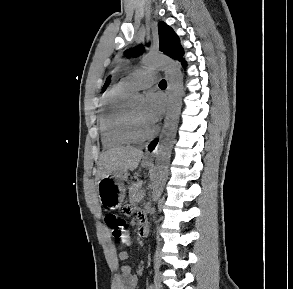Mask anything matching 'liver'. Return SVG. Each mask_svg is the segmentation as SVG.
<instances>
[{"label": "liver", "instance_id": "obj_1", "mask_svg": "<svg viewBox=\"0 0 293 289\" xmlns=\"http://www.w3.org/2000/svg\"><path fill=\"white\" fill-rule=\"evenodd\" d=\"M142 157L143 152L133 147L109 149L100 158L98 176L102 179L118 170L133 171L138 167Z\"/></svg>", "mask_w": 293, "mask_h": 289}]
</instances>
